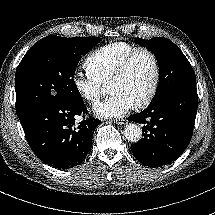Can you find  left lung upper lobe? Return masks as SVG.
Returning <instances> with one entry per match:
<instances>
[{
    "instance_id": "1",
    "label": "left lung upper lobe",
    "mask_w": 215,
    "mask_h": 215,
    "mask_svg": "<svg viewBox=\"0 0 215 215\" xmlns=\"http://www.w3.org/2000/svg\"><path fill=\"white\" fill-rule=\"evenodd\" d=\"M135 43L148 48L159 64V84L151 103L170 91L196 83L191 64L181 50L167 38H135Z\"/></svg>"
}]
</instances>
